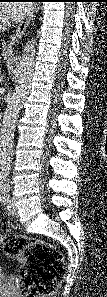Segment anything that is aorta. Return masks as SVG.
Masks as SVG:
<instances>
[{"label":"aorta","mask_w":107,"mask_h":297,"mask_svg":"<svg viewBox=\"0 0 107 297\" xmlns=\"http://www.w3.org/2000/svg\"><path fill=\"white\" fill-rule=\"evenodd\" d=\"M35 39L28 40L16 73L15 90L7 103L0 128V165H10L13 155V138L15 125L22 109L23 102L29 94L35 66Z\"/></svg>","instance_id":"762f6f07"}]
</instances>
